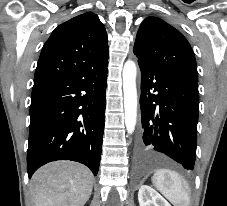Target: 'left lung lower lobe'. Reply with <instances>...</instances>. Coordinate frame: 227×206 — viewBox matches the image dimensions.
<instances>
[{
	"label": "left lung lower lobe",
	"instance_id": "0a47b994",
	"mask_svg": "<svg viewBox=\"0 0 227 206\" xmlns=\"http://www.w3.org/2000/svg\"><path fill=\"white\" fill-rule=\"evenodd\" d=\"M140 151L155 150L193 170L197 146V80L140 62Z\"/></svg>",
	"mask_w": 227,
	"mask_h": 206
}]
</instances>
